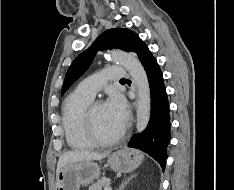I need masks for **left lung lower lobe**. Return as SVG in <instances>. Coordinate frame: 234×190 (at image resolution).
Here are the masks:
<instances>
[{
	"mask_svg": "<svg viewBox=\"0 0 234 190\" xmlns=\"http://www.w3.org/2000/svg\"><path fill=\"white\" fill-rule=\"evenodd\" d=\"M136 54L146 71L149 81L151 118L146 130L142 134L134 136L128 143V147L146 152L164 170L167 158V146L170 141V116L163 74L157 60L146 44Z\"/></svg>",
	"mask_w": 234,
	"mask_h": 190,
	"instance_id": "left-lung-lower-lobe-1",
	"label": "left lung lower lobe"
}]
</instances>
